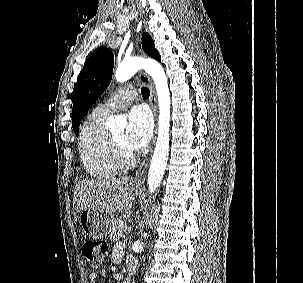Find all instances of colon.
<instances>
[{
  "label": "colon",
  "instance_id": "5ec220e1",
  "mask_svg": "<svg viewBox=\"0 0 303 283\" xmlns=\"http://www.w3.org/2000/svg\"><path fill=\"white\" fill-rule=\"evenodd\" d=\"M81 253L91 267L98 268L109 256L110 249L103 241L88 239L81 243Z\"/></svg>",
  "mask_w": 303,
  "mask_h": 283
}]
</instances>
